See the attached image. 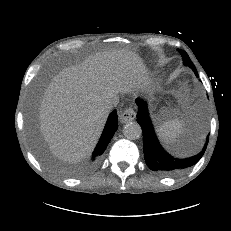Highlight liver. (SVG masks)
Masks as SVG:
<instances>
[{"instance_id":"liver-1","label":"liver","mask_w":231,"mask_h":231,"mask_svg":"<svg viewBox=\"0 0 231 231\" xmlns=\"http://www.w3.org/2000/svg\"><path fill=\"white\" fill-rule=\"evenodd\" d=\"M148 83L141 58L125 49L97 52L61 71L39 108L40 132L52 153L68 162L90 156L107 121V100Z\"/></svg>"}]
</instances>
